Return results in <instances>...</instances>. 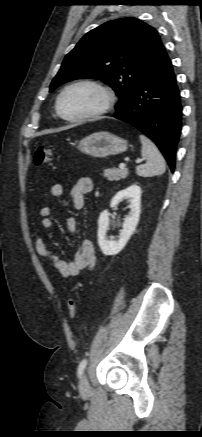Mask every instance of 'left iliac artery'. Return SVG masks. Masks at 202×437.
<instances>
[{
    "instance_id": "left-iliac-artery-1",
    "label": "left iliac artery",
    "mask_w": 202,
    "mask_h": 437,
    "mask_svg": "<svg viewBox=\"0 0 202 437\" xmlns=\"http://www.w3.org/2000/svg\"><path fill=\"white\" fill-rule=\"evenodd\" d=\"M86 365H87V359H83V360L79 363V366H78V369H77V373H78V376H79V377L82 375L84 369L86 368Z\"/></svg>"
}]
</instances>
